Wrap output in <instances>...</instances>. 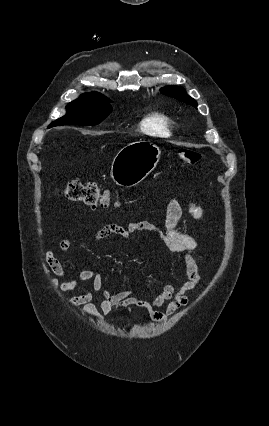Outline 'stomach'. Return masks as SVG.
<instances>
[{"label":"stomach","instance_id":"stomach-1","mask_svg":"<svg viewBox=\"0 0 269 426\" xmlns=\"http://www.w3.org/2000/svg\"><path fill=\"white\" fill-rule=\"evenodd\" d=\"M160 155L159 147L149 141L130 143L114 157L111 177L119 186H136L155 169Z\"/></svg>","mask_w":269,"mask_h":426}]
</instances>
